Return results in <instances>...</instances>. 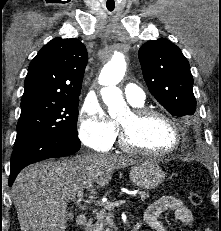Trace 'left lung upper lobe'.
Wrapping results in <instances>:
<instances>
[{
    "mask_svg": "<svg viewBox=\"0 0 221 231\" xmlns=\"http://www.w3.org/2000/svg\"><path fill=\"white\" fill-rule=\"evenodd\" d=\"M139 60L146 84L156 100L173 116L188 118L196 110L193 77L179 47L159 38L143 44Z\"/></svg>",
    "mask_w": 221,
    "mask_h": 231,
    "instance_id": "5c2ea615",
    "label": "left lung upper lobe"
}]
</instances>
